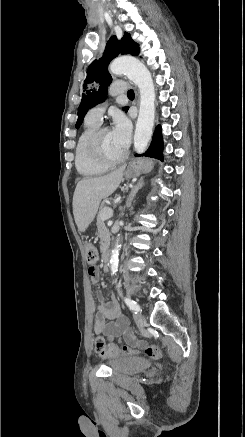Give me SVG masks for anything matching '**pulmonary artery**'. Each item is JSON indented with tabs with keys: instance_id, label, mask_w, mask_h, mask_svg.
Returning a JSON list of instances; mask_svg holds the SVG:
<instances>
[{
	"instance_id": "1",
	"label": "pulmonary artery",
	"mask_w": 245,
	"mask_h": 437,
	"mask_svg": "<svg viewBox=\"0 0 245 437\" xmlns=\"http://www.w3.org/2000/svg\"><path fill=\"white\" fill-rule=\"evenodd\" d=\"M127 89H128V85L125 82L117 81V82L112 84V86L110 88V92L112 95H118V94H122V93L126 92ZM104 110H105V104H98V105L92 107L88 111L86 118L91 120V121L100 123L102 115L104 113Z\"/></svg>"
}]
</instances>
